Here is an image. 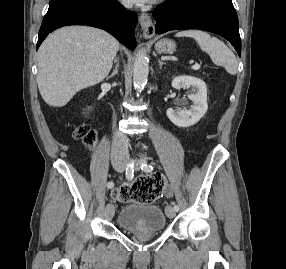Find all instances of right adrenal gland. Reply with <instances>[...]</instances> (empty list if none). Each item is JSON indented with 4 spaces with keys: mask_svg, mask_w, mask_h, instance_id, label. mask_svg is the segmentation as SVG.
<instances>
[{
    "mask_svg": "<svg viewBox=\"0 0 286 269\" xmlns=\"http://www.w3.org/2000/svg\"><path fill=\"white\" fill-rule=\"evenodd\" d=\"M118 68H119V64L117 63L115 66V69L113 70L112 74L109 77H114L115 75L118 74Z\"/></svg>",
    "mask_w": 286,
    "mask_h": 269,
    "instance_id": "2a0ac1e0",
    "label": "right adrenal gland"
}]
</instances>
